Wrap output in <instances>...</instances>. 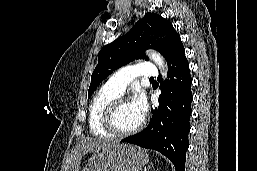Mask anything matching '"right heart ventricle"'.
Masks as SVG:
<instances>
[{
    "instance_id": "1",
    "label": "right heart ventricle",
    "mask_w": 257,
    "mask_h": 171,
    "mask_svg": "<svg viewBox=\"0 0 257 171\" xmlns=\"http://www.w3.org/2000/svg\"><path fill=\"white\" fill-rule=\"evenodd\" d=\"M118 92L110 89L107 85L102 86L94 95L88 112V125L90 133L96 137H111L102 125V117L106 106L117 97Z\"/></svg>"
}]
</instances>
